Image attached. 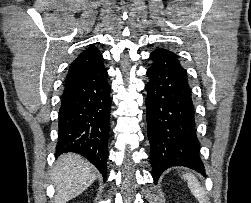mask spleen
Listing matches in <instances>:
<instances>
[{"mask_svg":"<svg viewBox=\"0 0 251 203\" xmlns=\"http://www.w3.org/2000/svg\"><path fill=\"white\" fill-rule=\"evenodd\" d=\"M184 179L187 180L188 182V186L192 192V194L195 196V198H197L200 203H205V194L202 190V188L199 185L198 180L196 179V177L192 174H184Z\"/></svg>","mask_w":251,"mask_h":203,"instance_id":"obj_1","label":"spleen"}]
</instances>
